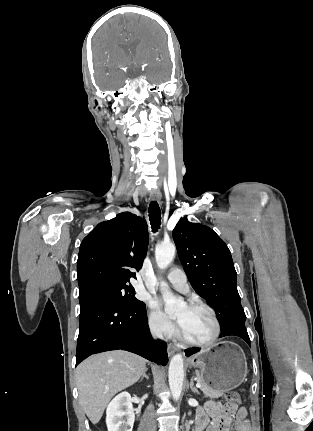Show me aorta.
<instances>
[{"label":"aorta","mask_w":313,"mask_h":431,"mask_svg":"<svg viewBox=\"0 0 313 431\" xmlns=\"http://www.w3.org/2000/svg\"><path fill=\"white\" fill-rule=\"evenodd\" d=\"M175 246L173 244L160 245L155 250V259L160 269H165L173 261L175 256ZM160 290L165 303V310L173 312L181 303L170 291L166 282L160 283ZM169 385L173 399L177 401L182 392L184 378V361L181 354L172 357L169 364Z\"/></svg>","instance_id":"obj_1"}]
</instances>
